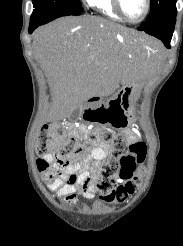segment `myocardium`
Returning <instances> with one entry per match:
<instances>
[{"label": "myocardium", "mask_w": 183, "mask_h": 246, "mask_svg": "<svg viewBox=\"0 0 183 246\" xmlns=\"http://www.w3.org/2000/svg\"><path fill=\"white\" fill-rule=\"evenodd\" d=\"M144 3H145V10L142 16L139 19L132 20L124 12L122 0H113V4L117 13L122 17V19L132 24H137L142 22L149 14L151 8V2L150 0H144Z\"/></svg>", "instance_id": "f54148a6"}]
</instances>
